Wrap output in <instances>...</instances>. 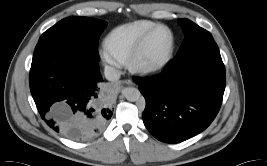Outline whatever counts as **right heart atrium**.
Segmentation results:
<instances>
[{
  "label": "right heart atrium",
  "mask_w": 267,
  "mask_h": 166,
  "mask_svg": "<svg viewBox=\"0 0 267 166\" xmlns=\"http://www.w3.org/2000/svg\"><path fill=\"white\" fill-rule=\"evenodd\" d=\"M101 57L106 63L112 66H117L122 62L118 55L111 49L108 43L104 44L101 51Z\"/></svg>",
  "instance_id": "1"
}]
</instances>
